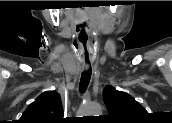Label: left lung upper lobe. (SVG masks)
Returning <instances> with one entry per match:
<instances>
[{
	"mask_svg": "<svg viewBox=\"0 0 172 123\" xmlns=\"http://www.w3.org/2000/svg\"><path fill=\"white\" fill-rule=\"evenodd\" d=\"M103 98L110 115L106 116L115 121L137 120L146 114V110L129 94L107 86Z\"/></svg>",
	"mask_w": 172,
	"mask_h": 123,
	"instance_id": "1",
	"label": "left lung upper lobe"
}]
</instances>
